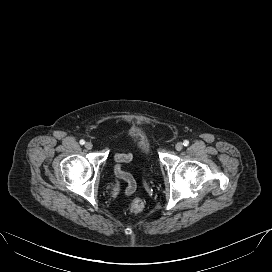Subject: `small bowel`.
Here are the masks:
<instances>
[{
	"instance_id": "1",
	"label": "small bowel",
	"mask_w": 272,
	"mask_h": 272,
	"mask_svg": "<svg viewBox=\"0 0 272 272\" xmlns=\"http://www.w3.org/2000/svg\"><path fill=\"white\" fill-rule=\"evenodd\" d=\"M114 158L117 162V164L114 167V173L117 177L123 179L127 183L125 194L129 195L133 192L135 188V181L129 173L123 170L122 164L131 161L133 158V154L132 153L115 154Z\"/></svg>"
}]
</instances>
